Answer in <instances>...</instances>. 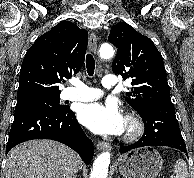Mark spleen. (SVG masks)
<instances>
[{"instance_id":"3e777b00","label":"spleen","mask_w":194,"mask_h":178,"mask_svg":"<svg viewBox=\"0 0 194 178\" xmlns=\"http://www.w3.org/2000/svg\"><path fill=\"white\" fill-rule=\"evenodd\" d=\"M174 178H188L187 164L183 159H178L173 165Z\"/></svg>"}]
</instances>
